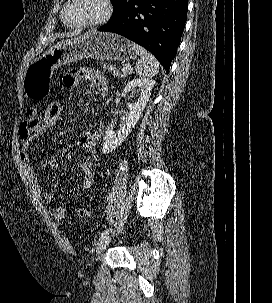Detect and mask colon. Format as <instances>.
I'll return each instance as SVG.
<instances>
[{
	"label": "colon",
	"mask_w": 272,
	"mask_h": 303,
	"mask_svg": "<svg viewBox=\"0 0 272 303\" xmlns=\"http://www.w3.org/2000/svg\"><path fill=\"white\" fill-rule=\"evenodd\" d=\"M100 67L102 71L112 76H119V68L110 61H101ZM62 116V103L59 98L52 99L46 106L43 114L39 118V130L43 136L53 133L61 120ZM91 209L88 207L79 210V217L83 220L91 216Z\"/></svg>",
	"instance_id": "5ec220e1"
}]
</instances>
